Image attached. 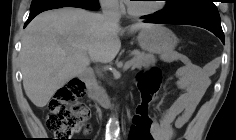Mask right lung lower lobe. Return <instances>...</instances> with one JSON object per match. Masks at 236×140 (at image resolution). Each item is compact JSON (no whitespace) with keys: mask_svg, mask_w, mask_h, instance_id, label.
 <instances>
[{"mask_svg":"<svg viewBox=\"0 0 236 140\" xmlns=\"http://www.w3.org/2000/svg\"><path fill=\"white\" fill-rule=\"evenodd\" d=\"M61 7H79V8H84V7H81V6H77V5H61V6H54V7H49V8H43V9H39V10H35V11H31L30 14H29V17L25 23V26H27L29 24V22L36 16L38 15L39 13L43 12V11H46V10H50V9H56V8H61ZM86 9V8H84ZM24 26V27H25Z\"/></svg>","mask_w":236,"mask_h":140,"instance_id":"1","label":"right lung lower lobe"}]
</instances>
